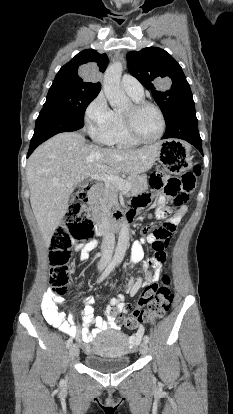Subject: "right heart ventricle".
I'll list each match as a JSON object with an SVG mask.
<instances>
[{"label": "right heart ventricle", "mask_w": 233, "mask_h": 414, "mask_svg": "<svg viewBox=\"0 0 233 414\" xmlns=\"http://www.w3.org/2000/svg\"><path fill=\"white\" fill-rule=\"evenodd\" d=\"M132 97V96H131ZM135 101H141V98L132 97ZM107 144L117 148H134L139 145V142L133 140L126 132L122 114L113 111L112 120L108 133Z\"/></svg>", "instance_id": "1"}]
</instances>
